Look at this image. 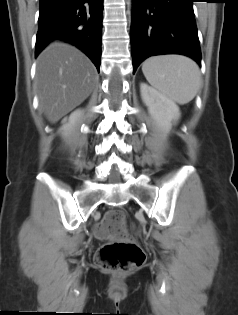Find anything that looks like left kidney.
<instances>
[{
	"mask_svg": "<svg viewBox=\"0 0 238 315\" xmlns=\"http://www.w3.org/2000/svg\"><path fill=\"white\" fill-rule=\"evenodd\" d=\"M141 97L152 118L161 130L169 132L180 117V110L172 100L145 83L140 85Z\"/></svg>",
	"mask_w": 238,
	"mask_h": 315,
	"instance_id": "1",
	"label": "left kidney"
}]
</instances>
